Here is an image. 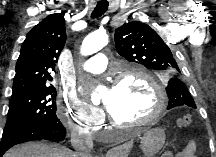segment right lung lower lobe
I'll use <instances>...</instances> for the list:
<instances>
[{
	"label": "right lung lower lobe",
	"mask_w": 216,
	"mask_h": 157,
	"mask_svg": "<svg viewBox=\"0 0 216 157\" xmlns=\"http://www.w3.org/2000/svg\"><path fill=\"white\" fill-rule=\"evenodd\" d=\"M66 136V129L61 122L41 123L3 135L0 145V157L12 146L34 140H50L58 142Z\"/></svg>",
	"instance_id": "1"
}]
</instances>
